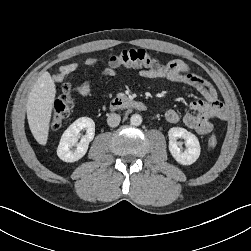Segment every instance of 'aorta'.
<instances>
[{
  "mask_svg": "<svg viewBox=\"0 0 251 251\" xmlns=\"http://www.w3.org/2000/svg\"><path fill=\"white\" fill-rule=\"evenodd\" d=\"M130 122L134 126H139L142 123V117L139 114H133L130 118Z\"/></svg>",
  "mask_w": 251,
  "mask_h": 251,
  "instance_id": "aorta-1",
  "label": "aorta"
}]
</instances>
